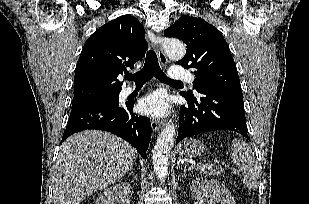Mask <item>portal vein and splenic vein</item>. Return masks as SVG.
<instances>
[{
	"mask_svg": "<svg viewBox=\"0 0 309 204\" xmlns=\"http://www.w3.org/2000/svg\"><path fill=\"white\" fill-rule=\"evenodd\" d=\"M196 165H192V168L195 167ZM198 166V165H197Z\"/></svg>",
	"mask_w": 309,
	"mask_h": 204,
	"instance_id": "obj_1",
	"label": "portal vein and splenic vein"
}]
</instances>
